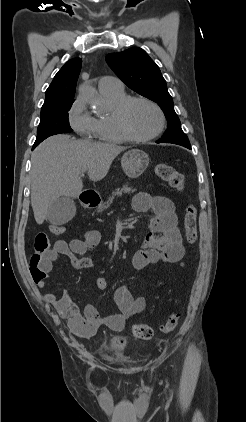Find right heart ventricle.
<instances>
[{
	"label": "right heart ventricle",
	"instance_id": "1",
	"mask_svg": "<svg viewBox=\"0 0 246 422\" xmlns=\"http://www.w3.org/2000/svg\"><path fill=\"white\" fill-rule=\"evenodd\" d=\"M101 93L110 105V112L96 118L97 138L106 143H124L129 141L119 130L114 119V110L116 106L125 100L128 95L124 90L101 91Z\"/></svg>",
	"mask_w": 246,
	"mask_h": 422
}]
</instances>
